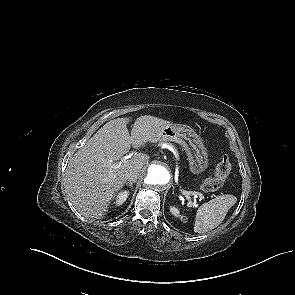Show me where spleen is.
Segmentation results:
<instances>
[{"label": "spleen", "mask_w": 295, "mask_h": 295, "mask_svg": "<svg viewBox=\"0 0 295 295\" xmlns=\"http://www.w3.org/2000/svg\"><path fill=\"white\" fill-rule=\"evenodd\" d=\"M236 201L235 196L225 194L202 204L196 212L194 232L205 233L219 226ZM193 205L192 202L188 203L189 207Z\"/></svg>", "instance_id": "1"}]
</instances>
